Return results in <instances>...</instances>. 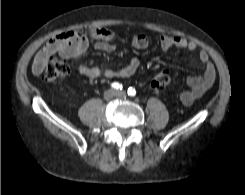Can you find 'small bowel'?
<instances>
[{
  "label": "small bowel",
  "instance_id": "c3829d8e",
  "mask_svg": "<svg viewBox=\"0 0 245 195\" xmlns=\"http://www.w3.org/2000/svg\"><path fill=\"white\" fill-rule=\"evenodd\" d=\"M114 32L103 27H92L85 31H67L58 34L50 39L45 46L37 53L34 58L32 70L39 75L49 56L58 53L63 58L77 60L87 50L91 40L95 41V48L105 52H112L116 46L112 44ZM131 44L136 49H145L149 41L146 35L139 34L132 38ZM160 45L163 50L186 49L189 52L197 50V45L183 37L177 35H163L160 38ZM199 60L203 67L204 73L201 76H190L187 78L189 88L180 94V102L187 106L201 97L208 89L211 88L215 80L216 72L208 53L204 49L199 50ZM140 61L132 57L127 65L114 70L103 66H87L83 63L78 65L80 74L88 78H112V77H130L139 68Z\"/></svg>",
  "mask_w": 245,
  "mask_h": 195
}]
</instances>
